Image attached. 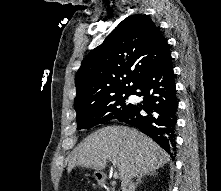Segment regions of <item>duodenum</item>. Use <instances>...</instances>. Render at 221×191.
<instances>
[{
    "label": "duodenum",
    "mask_w": 221,
    "mask_h": 191,
    "mask_svg": "<svg viewBox=\"0 0 221 191\" xmlns=\"http://www.w3.org/2000/svg\"><path fill=\"white\" fill-rule=\"evenodd\" d=\"M97 179L99 184L102 186H109L110 184L109 178L104 174H99Z\"/></svg>",
    "instance_id": "obj_1"
}]
</instances>
